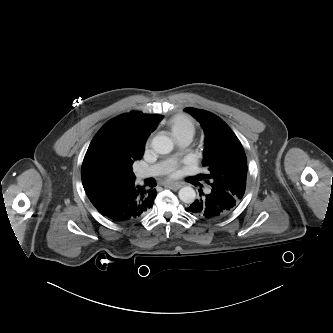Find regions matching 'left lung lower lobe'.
Segmentation results:
<instances>
[{"instance_id":"0a47b994","label":"left lung lower lobe","mask_w":333,"mask_h":333,"mask_svg":"<svg viewBox=\"0 0 333 333\" xmlns=\"http://www.w3.org/2000/svg\"><path fill=\"white\" fill-rule=\"evenodd\" d=\"M200 196L186 211L204 220H218L238 205L236 199L222 189L210 188L205 195L201 192Z\"/></svg>"}]
</instances>
